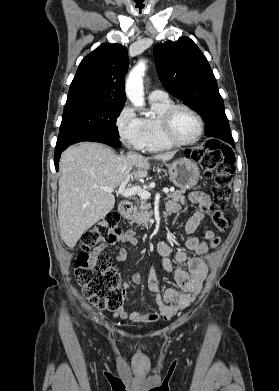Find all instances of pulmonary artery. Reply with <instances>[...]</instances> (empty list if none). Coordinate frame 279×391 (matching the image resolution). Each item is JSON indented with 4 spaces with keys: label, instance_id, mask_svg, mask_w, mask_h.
<instances>
[{
    "label": "pulmonary artery",
    "instance_id": "e3ab8cb5",
    "mask_svg": "<svg viewBox=\"0 0 279 391\" xmlns=\"http://www.w3.org/2000/svg\"><path fill=\"white\" fill-rule=\"evenodd\" d=\"M168 97L167 93L160 89H154L149 94V99H163Z\"/></svg>",
    "mask_w": 279,
    "mask_h": 391
}]
</instances>
